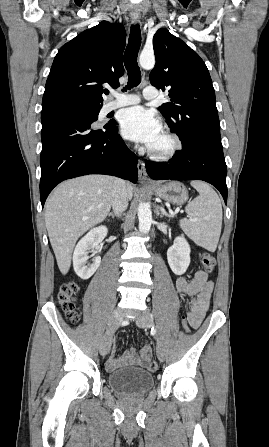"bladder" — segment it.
Here are the masks:
<instances>
[{"label": "bladder", "mask_w": 269, "mask_h": 447, "mask_svg": "<svg viewBox=\"0 0 269 447\" xmlns=\"http://www.w3.org/2000/svg\"><path fill=\"white\" fill-rule=\"evenodd\" d=\"M108 385L123 397L144 396L154 387V374L148 370L126 367L108 374Z\"/></svg>", "instance_id": "1"}]
</instances>
